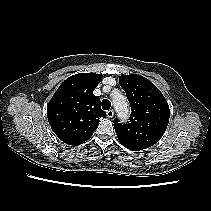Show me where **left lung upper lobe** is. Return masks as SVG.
<instances>
[{
    "label": "left lung upper lobe",
    "mask_w": 211,
    "mask_h": 211,
    "mask_svg": "<svg viewBox=\"0 0 211 211\" xmlns=\"http://www.w3.org/2000/svg\"><path fill=\"white\" fill-rule=\"evenodd\" d=\"M119 84L131 106L127 124L114 120V128L122 145L132 151L151 147L163 136L170 110L160 90L141 75H121Z\"/></svg>",
    "instance_id": "left-lung-upper-lobe-1"
}]
</instances>
